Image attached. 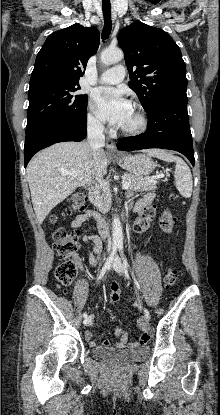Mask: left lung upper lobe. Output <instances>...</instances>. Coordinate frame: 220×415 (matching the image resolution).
<instances>
[{"mask_svg": "<svg viewBox=\"0 0 220 415\" xmlns=\"http://www.w3.org/2000/svg\"><path fill=\"white\" fill-rule=\"evenodd\" d=\"M118 43L130 71L129 87L145 110L163 95L186 92V65L168 33L134 21L121 30Z\"/></svg>", "mask_w": 220, "mask_h": 415, "instance_id": "5c2ea615", "label": "left lung upper lobe"}]
</instances>
